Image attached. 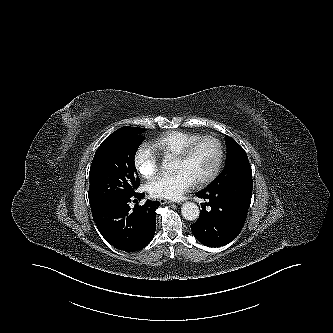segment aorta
Returning a JSON list of instances; mask_svg holds the SVG:
<instances>
[{"instance_id": "762f6f07", "label": "aorta", "mask_w": 333, "mask_h": 333, "mask_svg": "<svg viewBox=\"0 0 333 333\" xmlns=\"http://www.w3.org/2000/svg\"><path fill=\"white\" fill-rule=\"evenodd\" d=\"M168 163H163V168L168 169ZM182 216L188 221H194L199 217V207L193 202H185L181 207Z\"/></svg>"}]
</instances>
